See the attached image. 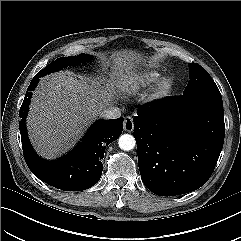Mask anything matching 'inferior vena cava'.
I'll return each instance as SVG.
<instances>
[{
    "mask_svg": "<svg viewBox=\"0 0 241 241\" xmlns=\"http://www.w3.org/2000/svg\"><path fill=\"white\" fill-rule=\"evenodd\" d=\"M100 116L103 117L104 119H116L121 117V111L120 108L110 106L106 109H104L101 113Z\"/></svg>",
    "mask_w": 241,
    "mask_h": 241,
    "instance_id": "1",
    "label": "inferior vena cava"
}]
</instances>
